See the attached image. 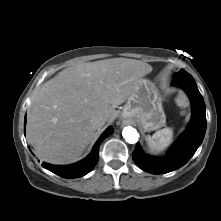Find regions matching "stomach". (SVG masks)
<instances>
[{"label":"stomach","instance_id":"obj_1","mask_svg":"<svg viewBox=\"0 0 221 221\" xmlns=\"http://www.w3.org/2000/svg\"><path fill=\"white\" fill-rule=\"evenodd\" d=\"M122 117L136 121L145 131L157 130L165 125L162 98L153 83L142 80L127 100Z\"/></svg>","mask_w":221,"mask_h":221}]
</instances>
